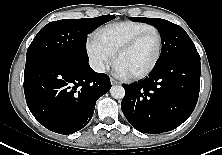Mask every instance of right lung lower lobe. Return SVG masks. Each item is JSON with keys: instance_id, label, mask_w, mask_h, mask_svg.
<instances>
[{"instance_id": "obj_1", "label": "right lung lower lobe", "mask_w": 222, "mask_h": 155, "mask_svg": "<svg viewBox=\"0 0 222 155\" xmlns=\"http://www.w3.org/2000/svg\"><path fill=\"white\" fill-rule=\"evenodd\" d=\"M110 88L108 75L93 71L88 61H49L24 72V93L31 113L59 134L84 128L96 101Z\"/></svg>"}]
</instances>
